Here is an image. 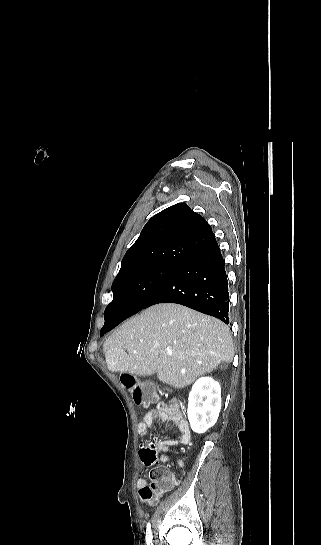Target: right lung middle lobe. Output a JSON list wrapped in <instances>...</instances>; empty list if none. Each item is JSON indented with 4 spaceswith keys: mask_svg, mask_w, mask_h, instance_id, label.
<instances>
[{
    "mask_svg": "<svg viewBox=\"0 0 321 545\" xmlns=\"http://www.w3.org/2000/svg\"><path fill=\"white\" fill-rule=\"evenodd\" d=\"M180 266L158 264L133 269L117 275L112 284L113 301L118 318L127 319L139 312ZM107 326L109 319L105 315Z\"/></svg>",
    "mask_w": 321,
    "mask_h": 545,
    "instance_id": "dd1d6c3e",
    "label": "right lung middle lobe"
}]
</instances>
